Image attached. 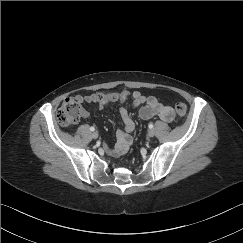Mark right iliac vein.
<instances>
[{
    "label": "right iliac vein",
    "mask_w": 243,
    "mask_h": 243,
    "mask_svg": "<svg viewBox=\"0 0 243 243\" xmlns=\"http://www.w3.org/2000/svg\"><path fill=\"white\" fill-rule=\"evenodd\" d=\"M92 138L93 139H97L98 138V133L97 132H93L92 133Z\"/></svg>",
    "instance_id": "right-iliac-vein-1"
}]
</instances>
